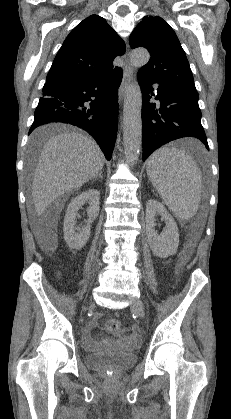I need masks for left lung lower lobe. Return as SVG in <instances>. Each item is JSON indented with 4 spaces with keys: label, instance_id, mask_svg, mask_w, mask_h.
<instances>
[{
    "label": "left lung lower lobe",
    "instance_id": "left-lung-lower-lobe-1",
    "mask_svg": "<svg viewBox=\"0 0 231 419\" xmlns=\"http://www.w3.org/2000/svg\"><path fill=\"white\" fill-rule=\"evenodd\" d=\"M142 91L143 161L160 146L183 137H195L209 149L201 125L198 92L169 84H159L154 79L138 73ZM151 83L159 84L155 99L160 107L150 103L154 96Z\"/></svg>",
    "mask_w": 231,
    "mask_h": 419
}]
</instances>
